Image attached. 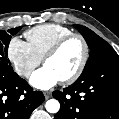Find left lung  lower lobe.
I'll return each instance as SVG.
<instances>
[{
	"instance_id": "0a47b994",
	"label": "left lung lower lobe",
	"mask_w": 119,
	"mask_h": 119,
	"mask_svg": "<svg viewBox=\"0 0 119 119\" xmlns=\"http://www.w3.org/2000/svg\"><path fill=\"white\" fill-rule=\"evenodd\" d=\"M54 119H119V59L92 68L63 91Z\"/></svg>"
}]
</instances>
